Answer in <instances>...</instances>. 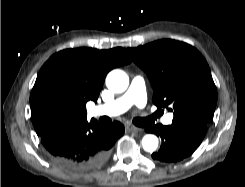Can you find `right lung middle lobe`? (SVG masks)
Segmentation results:
<instances>
[{
    "label": "right lung middle lobe",
    "instance_id": "obj_1",
    "mask_svg": "<svg viewBox=\"0 0 245 187\" xmlns=\"http://www.w3.org/2000/svg\"><path fill=\"white\" fill-rule=\"evenodd\" d=\"M37 102L49 112L62 114L67 110L69 98L59 86L49 84L38 92Z\"/></svg>",
    "mask_w": 245,
    "mask_h": 187
}]
</instances>
